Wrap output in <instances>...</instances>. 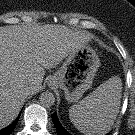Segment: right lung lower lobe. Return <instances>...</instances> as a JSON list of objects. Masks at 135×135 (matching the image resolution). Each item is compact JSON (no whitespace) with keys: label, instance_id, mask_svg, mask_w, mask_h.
Returning a JSON list of instances; mask_svg holds the SVG:
<instances>
[{"label":"right lung lower lobe","instance_id":"1","mask_svg":"<svg viewBox=\"0 0 135 135\" xmlns=\"http://www.w3.org/2000/svg\"><path fill=\"white\" fill-rule=\"evenodd\" d=\"M18 119H19V117L11 125L0 130V135H9L13 131V129L15 128V126L18 122Z\"/></svg>","mask_w":135,"mask_h":135}]
</instances>
